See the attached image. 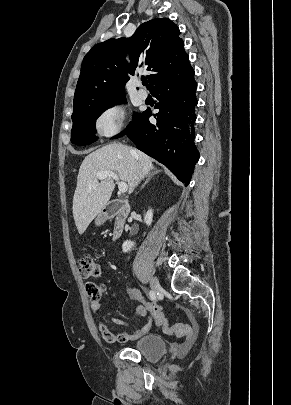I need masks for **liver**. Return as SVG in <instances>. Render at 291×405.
<instances>
[{
  "label": "liver",
  "mask_w": 291,
  "mask_h": 405,
  "mask_svg": "<svg viewBox=\"0 0 291 405\" xmlns=\"http://www.w3.org/2000/svg\"><path fill=\"white\" fill-rule=\"evenodd\" d=\"M152 159L141 151L112 143L90 153L83 160L73 197V217L79 234H83L92 220L109 201L115 188L112 178L99 182L97 174L112 171L128 183L131 194L137 185V177L144 178L153 170Z\"/></svg>",
  "instance_id": "1"
}]
</instances>
